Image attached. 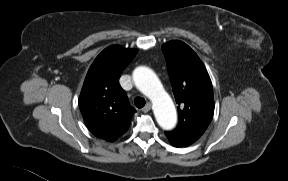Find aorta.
I'll use <instances>...</instances> for the list:
<instances>
[{
  "label": "aorta",
  "mask_w": 288,
  "mask_h": 181,
  "mask_svg": "<svg viewBox=\"0 0 288 181\" xmlns=\"http://www.w3.org/2000/svg\"><path fill=\"white\" fill-rule=\"evenodd\" d=\"M133 81L135 86L152 100L158 124L165 130L173 129L177 122L176 109L157 75L150 68L140 66L133 72Z\"/></svg>",
  "instance_id": "762f6f07"
}]
</instances>
